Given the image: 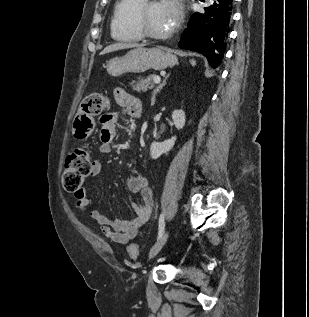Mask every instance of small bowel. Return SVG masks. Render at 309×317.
I'll return each instance as SVG.
<instances>
[{
	"instance_id": "obj_1",
	"label": "small bowel",
	"mask_w": 309,
	"mask_h": 317,
	"mask_svg": "<svg viewBox=\"0 0 309 317\" xmlns=\"http://www.w3.org/2000/svg\"><path fill=\"white\" fill-rule=\"evenodd\" d=\"M116 102L125 107L133 117H139L142 112L141 103L138 99L131 96L121 88L114 90ZM101 133L99 146V155L109 154L114 149V140L116 137V128L119 121V114L116 112L104 114L101 117ZM101 170L100 159L92 163V175H97ZM128 188L133 193L140 196V202L132 203L131 207L135 216L128 220H113L106 217L101 211L94 209L91 211V218L100 225V230L111 243L127 244L134 239L138 229L145 224L152 213L154 197L151 188L148 186L146 179L140 176L131 177L128 180ZM76 205L80 210L91 207L94 199L91 194L82 188L74 194Z\"/></svg>"
}]
</instances>
